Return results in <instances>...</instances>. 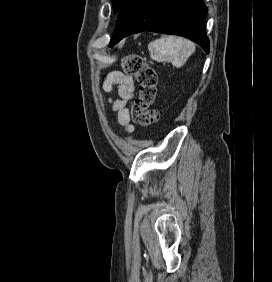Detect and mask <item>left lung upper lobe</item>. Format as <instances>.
Returning a JSON list of instances; mask_svg holds the SVG:
<instances>
[{"instance_id":"left-lung-upper-lobe-1","label":"left lung upper lobe","mask_w":272,"mask_h":282,"mask_svg":"<svg viewBox=\"0 0 272 282\" xmlns=\"http://www.w3.org/2000/svg\"><path fill=\"white\" fill-rule=\"evenodd\" d=\"M113 3L114 12L116 13L125 0H111Z\"/></svg>"}]
</instances>
